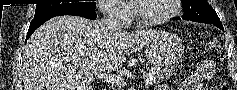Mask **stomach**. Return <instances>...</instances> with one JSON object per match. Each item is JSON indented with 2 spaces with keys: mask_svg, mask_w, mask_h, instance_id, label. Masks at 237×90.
I'll list each match as a JSON object with an SVG mask.
<instances>
[{
  "mask_svg": "<svg viewBox=\"0 0 237 90\" xmlns=\"http://www.w3.org/2000/svg\"><path fill=\"white\" fill-rule=\"evenodd\" d=\"M182 49L176 43L158 36L145 46V55L153 64L166 67L175 64L181 57Z\"/></svg>",
  "mask_w": 237,
  "mask_h": 90,
  "instance_id": "0dacf381",
  "label": "stomach"
}]
</instances>
